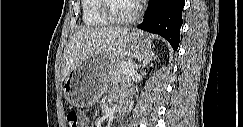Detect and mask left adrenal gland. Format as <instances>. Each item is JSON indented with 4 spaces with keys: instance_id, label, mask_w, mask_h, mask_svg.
<instances>
[{
    "instance_id": "obj_1",
    "label": "left adrenal gland",
    "mask_w": 243,
    "mask_h": 127,
    "mask_svg": "<svg viewBox=\"0 0 243 127\" xmlns=\"http://www.w3.org/2000/svg\"><path fill=\"white\" fill-rule=\"evenodd\" d=\"M157 56H155L154 52H151L149 55L145 56L142 61L141 67L145 68L151 61L155 60Z\"/></svg>"
}]
</instances>
